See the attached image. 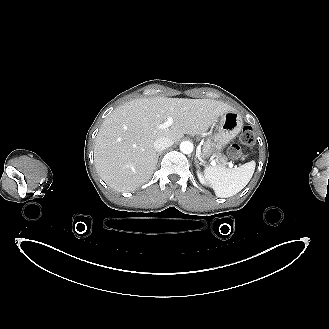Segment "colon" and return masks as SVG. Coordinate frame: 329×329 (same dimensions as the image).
I'll list each match as a JSON object with an SVG mask.
<instances>
[{"label": "colon", "mask_w": 329, "mask_h": 329, "mask_svg": "<svg viewBox=\"0 0 329 329\" xmlns=\"http://www.w3.org/2000/svg\"><path fill=\"white\" fill-rule=\"evenodd\" d=\"M240 142L244 145L247 146H251L255 143V136H254V132L253 129L251 127H244L242 129V132L240 134ZM241 150L240 147L238 145H232L230 148V155L233 158H238L240 156Z\"/></svg>", "instance_id": "colon-1"}]
</instances>
